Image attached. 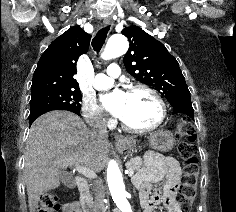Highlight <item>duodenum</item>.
<instances>
[{"label": "duodenum", "instance_id": "duodenum-1", "mask_svg": "<svg viewBox=\"0 0 236 212\" xmlns=\"http://www.w3.org/2000/svg\"><path fill=\"white\" fill-rule=\"evenodd\" d=\"M77 186L80 192V204L83 212H97V209L90 198L89 185L82 177L76 179Z\"/></svg>", "mask_w": 236, "mask_h": 212}]
</instances>
